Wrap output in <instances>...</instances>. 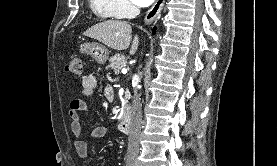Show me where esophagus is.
<instances>
[{
  "mask_svg": "<svg viewBox=\"0 0 277 166\" xmlns=\"http://www.w3.org/2000/svg\"><path fill=\"white\" fill-rule=\"evenodd\" d=\"M165 0H156L154 5L148 10L145 15V24L150 25L158 21L163 9Z\"/></svg>",
  "mask_w": 277,
  "mask_h": 166,
  "instance_id": "esophagus-1",
  "label": "esophagus"
}]
</instances>
